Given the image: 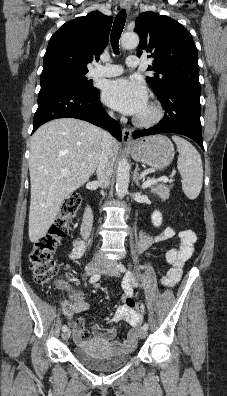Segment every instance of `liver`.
<instances>
[{"label":"liver","instance_id":"1","mask_svg":"<svg viewBox=\"0 0 227 396\" xmlns=\"http://www.w3.org/2000/svg\"><path fill=\"white\" fill-rule=\"evenodd\" d=\"M103 131L75 118L52 120L31 137L29 240L37 242L54 223L64 199L95 171ZM114 156L119 150L112 138Z\"/></svg>","mask_w":227,"mask_h":396}]
</instances>
